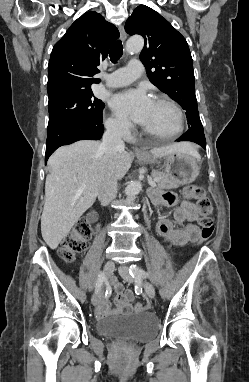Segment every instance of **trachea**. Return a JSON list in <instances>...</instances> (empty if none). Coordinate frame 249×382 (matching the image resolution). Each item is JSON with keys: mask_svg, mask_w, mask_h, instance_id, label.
Masks as SVG:
<instances>
[{"mask_svg": "<svg viewBox=\"0 0 249 382\" xmlns=\"http://www.w3.org/2000/svg\"><path fill=\"white\" fill-rule=\"evenodd\" d=\"M110 60L115 63L123 54V46L120 40H117L110 49Z\"/></svg>", "mask_w": 249, "mask_h": 382, "instance_id": "3493384b", "label": "trachea"}]
</instances>
